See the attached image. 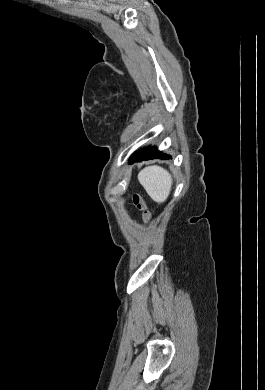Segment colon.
Here are the masks:
<instances>
[{
  "instance_id": "colon-1",
  "label": "colon",
  "mask_w": 265,
  "mask_h": 390,
  "mask_svg": "<svg viewBox=\"0 0 265 390\" xmlns=\"http://www.w3.org/2000/svg\"><path fill=\"white\" fill-rule=\"evenodd\" d=\"M133 202L137 208H139L147 213V211H148L147 204H146L145 200L139 194L133 195Z\"/></svg>"
}]
</instances>
